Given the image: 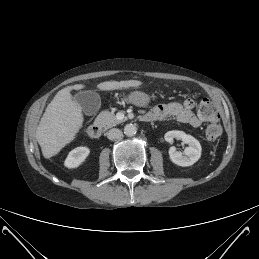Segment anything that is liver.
I'll return each instance as SVG.
<instances>
[{"instance_id": "liver-1", "label": "liver", "mask_w": 259, "mask_h": 259, "mask_svg": "<svg viewBox=\"0 0 259 259\" xmlns=\"http://www.w3.org/2000/svg\"><path fill=\"white\" fill-rule=\"evenodd\" d=\"M138 80L106 81L97 85L100 90H114L138 87ZM83 84H76L61 89L48 104L36 130V139L43 156L49 159L60 152L74 140L76 133L82 127V107L73 100L71 90H80Z\"/></svg>"}]
</instances>
